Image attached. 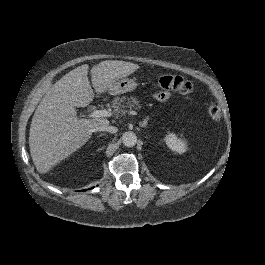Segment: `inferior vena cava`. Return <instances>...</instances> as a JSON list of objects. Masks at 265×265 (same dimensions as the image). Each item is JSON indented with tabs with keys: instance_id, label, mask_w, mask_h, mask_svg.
<instances>
[{
	"instance_id": "obj_1",
	"label": "inferior vena cava",
	"mask_w": 265,
	"mask_h": 265,
	"mask_svg": "<svg viewBox=\"0 0 265 265\" xmlns=\"http://www.w3.org/2000/svg\"><path fill=\"white\" fill-rule=\"evenodd\" d=\"M94 130L106 131L108 133H116L118 131V128L116 126H110L108 125V123H106L96 126Z\"/></svg>"
}]
</instances>
